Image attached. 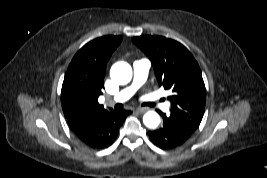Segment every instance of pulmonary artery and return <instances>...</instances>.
<instances>
[{
  "label": "pulmonary artery",
  "mask_w": 267,
  "mask_h": 178,
  "mask_svg": "<svg viewBox=\"0 0 267 178\" xmlns=\"http://www.w3.org/2000/svg\"><path fill=\"white\" fill-rule=\"evenodd\" d=\"M150 69V62L146 59L137 60L133 64V82L130 86L118 92L109 101L123 103L133 96L136 90L145 82ZM166 107H168L166 105Z\"/></svg>",
  "instance_id": "1"
}]
</instances>
